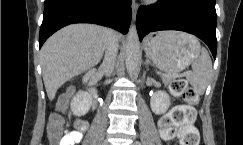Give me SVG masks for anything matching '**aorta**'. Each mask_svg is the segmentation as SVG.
I'll list each match as a JSON object with an SVG mask.
<instances>
[{
    "mask_svg": "<svg viewBox=\"0 0 243 145\" xmlns=\"http://www.w3.org/2000/svg\"><path fill=\"white\" fill-rule=\"evenodd\" d=\"M140 56V44L136 27L132 26L129 29L127 43L125 49V63L127 71L130 75L133 74L138 66Z\"/></svg>",
    "mask_w": 243,
    "mask_h": 145,
    "instance_id": "obj_1",
    "label": "aorta"
}]
</instances>
